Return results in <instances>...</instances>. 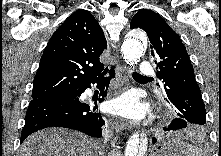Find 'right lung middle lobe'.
Wrapping results in <instances>:
<instances>
[{"label":"right lung middle lobe","mask_w":221,"mask_h":156,"mask_svg":"<svg viewBox=\"0 0 221 156\" xmlns=\"http://www.w3.org/2000/svg\"><path fill=\"white\" fill-rule=\"evenodd\" d=\"M73 95H74V93H70V94L55 96V97H52V98H70Z\"/></svg>","instance_id":"dd1d6c3e"}]
</instances>
